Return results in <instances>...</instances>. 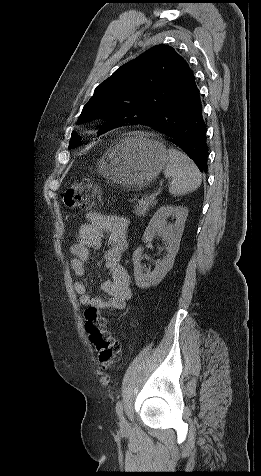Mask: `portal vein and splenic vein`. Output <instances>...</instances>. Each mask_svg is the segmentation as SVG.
Listing matches in <instances>:
<instances>
[{
	"label": "portal vein and splenic vein",
	"mask_w": 261,
	"mask_h": 476,
	"mask_svg": "<svg viewBox=\"0 0 261 476\" xmlns=\"http://www.w3.org/2000/svg\"><path fill=\"white\" fill-rule=\"evenodd\" d=\"M156 196H157V193H153V194L150 195V198L155 199Z\"/></svg>",
	"instance_id": "1"
}]
</instances>
